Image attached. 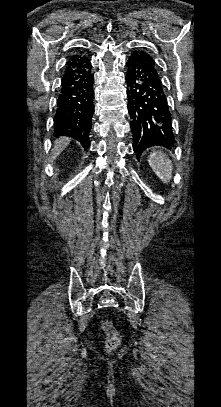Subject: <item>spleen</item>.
<instances>
[{
    "instance_id": "3e777b00",
    "label": "spleen",
    "mask_w": 221,
    "mask_h": 407,
    "mask_svg": "<svg viewBox=\"0 0 221 407\" xmlns=\"http://www.w3.org/2000/svg\"><path fill=\"white\" fill-rule=\"evenodd\" d=\"M148 163L155 174L164 182L170 181L172 176V161L166 154L153 150L148 156Z\"/></svg>"
}]
</instances>
